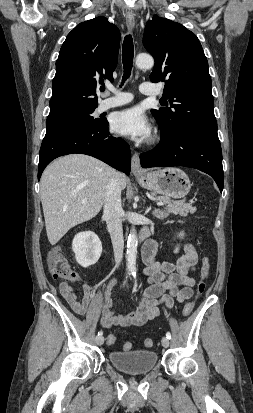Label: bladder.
<instances>
[{
  "label": "bladder",
  "instance_id": "bladder-1",
  "mask_svg": "<svg viewBox=\"0 0 253 413\" xmlns=\"http://www.w3.org/2000/svg\"><path fill=\"white\" fill-rule=\"evenodd\" d=\"M109 361L118 370L128 374H145L153 370L158 361L153 350L111 351Z\"/></svg>",
  "mask_w": 253,
  "mask_h": 413
}]
</instances>
